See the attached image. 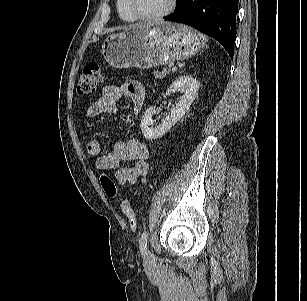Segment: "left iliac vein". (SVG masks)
<instances>
[{"instance_id": "1", "label": "left iliac vein", "mask_w": 307, "mask_h": 301, "mask_svg": "<svg viewBox=\"0 0 307 301\" xmlns=\"http://www.w3.org/2000/svg\"><path fill=\"white\" fill-rule=\"evenodd\" d=\"M154 260V255L151 251L147 250L144 255L145 263H150Z\"/></svg>"}]
</instances>
